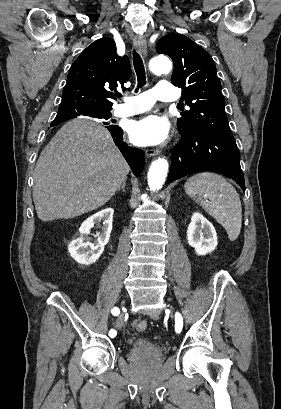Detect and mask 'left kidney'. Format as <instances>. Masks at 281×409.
I'll return each mask as SVG.
<instances>
[{
  "label": "left kidney",
  "instance_id": "obj_1",
  "mask_svg": "<svg viewBox=\"0 0 281 409\" xmlns=\"http://www.w3.org/2000/svg\"><path fill=\"white\" fill-rule=\"evenodd\" d=\"M187 241L194 247L197 255L212 253L217 247L216 231L201 213H193L191 223L187 229Z\"/></svg>",
  "mask_w": 281,
  "mask_h": 409
}]
</instances>
